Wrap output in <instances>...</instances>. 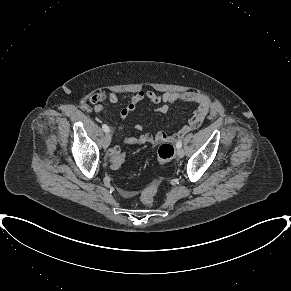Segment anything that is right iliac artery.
I'll return each mask as SVG.
<instances>
[{
	"label": "right iliac artery",
	"instance_id": "obj_1",
	"mask_svg": "<svg viewBox=\"0 0 291 291\" xmlns=\"http://www.w3.org/2000/svg\"><path fill=\"white\" fill-rule=\"evenodd\" d=\"M102 129H103V131L106 132V133L109 132V127H108L106 124H103V125H102Z\"/></svg>",
	"mask_w": 291,
	"mask_h": 291
}]
</instances>
